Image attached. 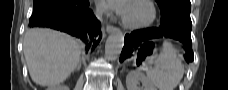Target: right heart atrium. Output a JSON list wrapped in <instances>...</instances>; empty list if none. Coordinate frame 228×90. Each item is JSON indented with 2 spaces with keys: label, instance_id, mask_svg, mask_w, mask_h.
Instances as JSON below:
<instances>
[{
  "label": "right heart atrium",
  "instance_id": "1",
  "mask_svg": "<svg viewBox=\"0 0 228 90\" xmlns=\"http://www.w3.org/2000/svg\"><path fill=\"white\" fill-rule=\"evenodd\" d=\"M102 10L101 8H97V12L100 13Z\"/></svg>",
  "mask_w": 228,
  "mask_h": 90
}]
</instances>
